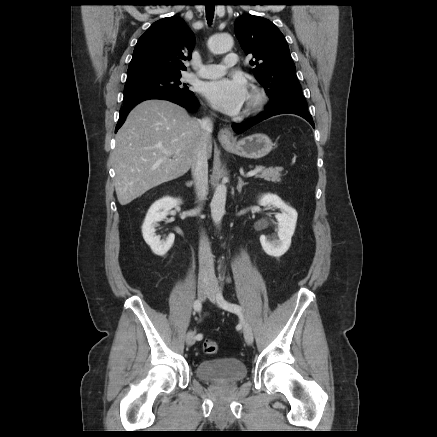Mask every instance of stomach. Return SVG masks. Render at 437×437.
I'll return each instance as SVG.
<instances>
[{"mask_svg": "<svg viewBox=\"0 0 437 437\" xmlns=\"http://www.w3.org/2000/svg\"><path fill=\"white\" fill-rule=\"evenodd\" d=\"M224 148L240 157L260 159L268 155L272 148V140L265 134L257 133L242 138L234 143L223 144Z\"/></svg>", "mask_w": 437, "mask_h": 437, "instance_id": "obj_1", "label": "stomach"}]
</instances>
